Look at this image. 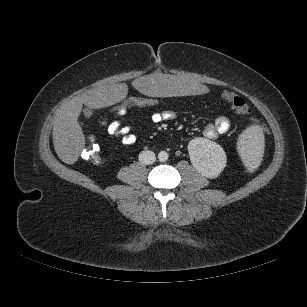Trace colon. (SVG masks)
Listing matches in <instances>:
<instances>
[{
	"label": "colon",
	"mask_w": 307,
	"mask_h": 307,
	"mask_svg": "<svg viewBox=\"0 0 307 307\" xmlns=\"http://www.w3.org/2000/svg\"><path fill=\"white\" fill-rule=\"evenodd\" d=\"M224 101L228 102L232 109L239 115L247 117L250 120H254L251 116V108L248 103L240 96L233 92H224L222 94ZM178 99L172 98H158L150 97L146 95H134L130 96L121 102H119L115 107L108 111L107 117L109 121L113 119H118L124 117L128 114L129 110L134 107H155L163 105L170 101H176ZM101 126L104 128V123L101 120ZM83 157L86 160L93 162L94 164L102 163V156L99 146L96 144L94 138L90 137L83 149Z\"/></svg>",
	"instance_id": "colon-1"
}]
</instances>
